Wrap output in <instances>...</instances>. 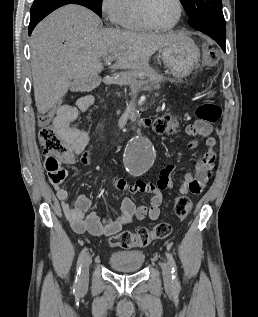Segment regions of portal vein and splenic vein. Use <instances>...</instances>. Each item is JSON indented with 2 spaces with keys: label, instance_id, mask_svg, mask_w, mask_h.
<instances>
[{
  "label": "portal vein and splenic vein",
  "instance_id": "18ae733b",
  "mask_svg": "<svg viewBox=\"0 0 258 317\" xmlns=\"http://www.w3.org/2000/svg\"><path fill=\"white\" fill-rule=\"evenodd\" d=\"M113 58H117V54H113ZM104 60H106L108 64H111V58H109V56H105Z\"/></svg>",
  "mask_w": 258,
  "mask_h": 317
}]
</instances>
